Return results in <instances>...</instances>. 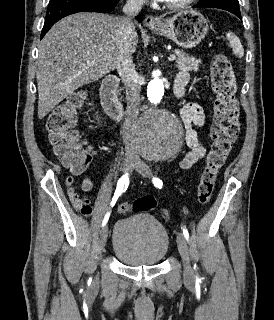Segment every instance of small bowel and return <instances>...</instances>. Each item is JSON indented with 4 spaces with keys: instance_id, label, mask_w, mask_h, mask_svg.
<instances>
[{
    "instance_id": "c3829d8e",
    "label": "small bowel",
    "mask_w": 274,
    "mask_h": 320,
    "mask_svg": "<svg viewBox=\"0 0 274 320\" xmlns=\"http://www.w3.org/2000/svg\"><path fill=\"white\" fill-rule=\"evenodd\" d=\"M188 81L189 75L187 73L181 72L177 75L174 91L178 98H183L185 96V87ZM181 119L185 128V143L190 149L180 162V168L186 170L193 167L206 155V148L202 145L196 130L197 127L199 128L205 125L206 117L204 109L199 103L187 102L181 109ZM82 161L88 162L87 168H78L71 171L74 174H81L86 170L90 171L81 183V190L83 192H89L94 187L92 172L98 166L99 152L96 149L86 150ZM70 201L74 209L83 216L90 217L92 215L93 209L90 199L87 196L70 198Z\"/></svg>"
}]
</instances>
